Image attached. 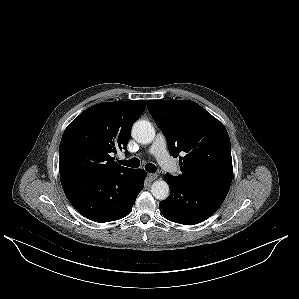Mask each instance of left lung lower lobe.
Instances as JSON below:
<instances>
[{"label":"left lung lower lobe","instance_id":"1","mask_svg":"<svg viewBox=\"0 0 299 299\" xmlns=\"http://www.w3.org/2000/svg\"><path fill=\"white\" fill-rule=\"evenodd\" d=\"M170 187L169 197L159 203L160 211L170 221L194 225L211 215L223 203L230 185L209 180H181L164 176Z\"/></svg>","mask_w":299,"mask_h":299}]
</instances>
